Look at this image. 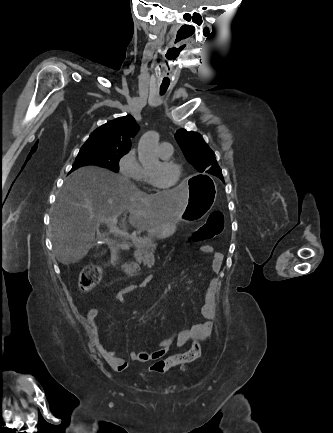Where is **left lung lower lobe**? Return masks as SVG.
<instances>
[{
	"label": "left lung lower lobe",
	"mask_w": 333,
	"mask_h": 433,
	"mask_svg": "<svg viewBox=\"0 0 333 433\" xmlns=\"http://www.w3.org/2000/svg\"><path fill=\"white\" fill-rule=\"evenodd\" d=\"M221 180H223V176L219 177Z\"/></svg>",
	"instance_id": "1"
}]
</instances>
